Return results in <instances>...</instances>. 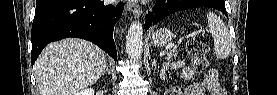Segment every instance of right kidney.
I'll list each match as a JSON object with an SVG mask.
<instances>
[{
  "label": "right kidney",
  "mask_w": 277,
  "mask_h": 95,
  "mask_svg": "<svg viewBox=\"0 0 277 95\" xmlns=\"http://www.w3.org/2000/svg\"><path fill=\"white\" fill-rule=\"evenodd\" d=\"M77 95H94V90L92 88H86L78 92Z\"/></svg>",
  "instance_id": "obj_1"
}]
</instances>
